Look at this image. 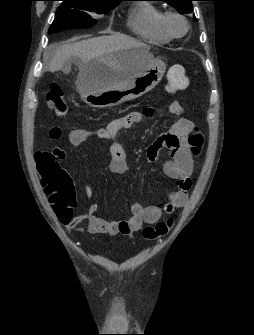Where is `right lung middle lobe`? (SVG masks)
<instances>
[{
    "label": "right lung middle lobe",
    "instance_id": "1",
    "mask_svg": "<svg viewBox=\"0 0 254 335\" xmlns=\"http://www.w3.org/2000/svg\"><path fill=\"white\" fill-rule=\"evenodd\" d=\"M58 7L55 19L49 28L48 34L67 29L89 28L96 23L90 13H106L118 3L89 1V0H62Z\"/></svg>",
    "mask_w": 254,
    "mask_h": 335
}]
</instances>
